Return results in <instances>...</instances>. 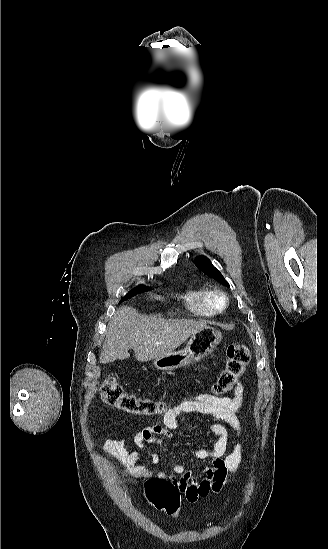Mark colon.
<instances>
[{"label": "colon", "instance_id": "obj_1", "mask_svg": "<svg viewBox=\"0 0 328 549\" xmlns=\"http://www.w3.org/2000/svg\"><path fill=\"white\" fill-rule=\"evenodd\" d=\"M250 351L242 343L231 344L226 349V364L211 387V395L220 397L229 392L250 361ZM101 398L109 406L125 412L151 416L167 412V404L161 400L136 396L126 392L115 378H108L101 387ZM180 489L168 479L153 478L144 485L143 496L153 508L178 518Z\"/></svg>", "mask_w": 328, "mask_h": 549}]
</instances>
